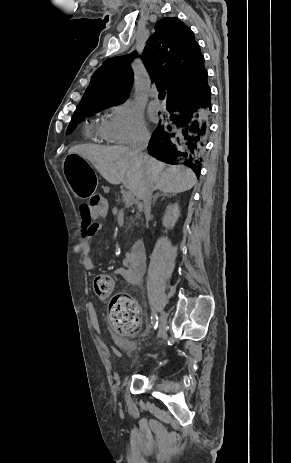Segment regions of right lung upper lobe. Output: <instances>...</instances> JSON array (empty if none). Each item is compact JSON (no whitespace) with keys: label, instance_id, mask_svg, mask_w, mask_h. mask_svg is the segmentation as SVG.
Instances as JSON below:
<instances>
[{"label":"right lung upper lobe","instance_id":"right-lung-upper-lobe-1","mask_svg":"<svg viewBox=\"0 0 291 463\" xmlns=\"http://www.w3.org/2000/svg\"><path fill=\"white\" fill-rule=\"evenodd\" d=\"M155 30L141 55L151 80L158 90L167 91V101L198 95L207 72L193 32L176 17L161 19ZM137 56L133 52L106 60L93 74L77 108L126 99L133 84L130 63Z\"/></svg>","mask_w":291,"mask_h":463}]
</instances>
